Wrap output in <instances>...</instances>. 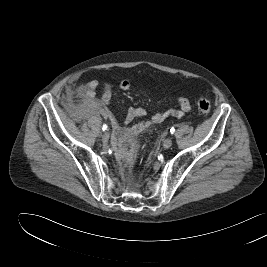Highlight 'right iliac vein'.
I'll return each mask as SVG.
<instances>
[{"label": "right iliac vein", "instance_id": "obj_1", "mask_svg": "<svg viewBox=\"0 0 267 267\" xmlns=\"http://www.w3.org/2000/svg\"><path fill=\"white\" fill-rule=\"evenodd\" d=\"M109 140V132L108 131H105L103 134H102V141L104 143H107Z\"/></svg>", "mask_w": 267, "mask_h": 267}]
</instances>
